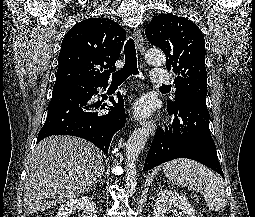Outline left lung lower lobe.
<instances>
[{"label": "left lung lower lobe", "mask_w": 255, "mask_h": 217, "mask_svg": "<svg viewBox=\"0 0 255 217\" xmlns=\"http://www.w3.org/2000/svg\"><path fill=\"white\" fill-rule=\"evenodd\" d=\"M167 111L172 124L156 132L144 171L173 159L188 158L206 165L224 178L209 130L207 106L190 100L175 109L167 108Z\"/></svg>", "instance_id": "0a47b994"}]
</instances>
